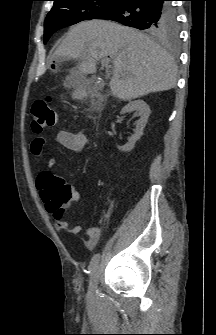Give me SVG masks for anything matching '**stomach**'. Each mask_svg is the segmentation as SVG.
Masks as SVG:
<instances>
[{"mask_svg":"<svg viewBox=\"0 0 216 335\" xmlns=\"http://www.w3.org/2000/svg\"><path fill=\"white\" fill-rule=\"evenodd\" d=\"M80 96V93L79 92H76L75 94H74V97L75 98H77V97H79Z\"/></svg>","mask_w":216,"mask_h":335,"instance_id":"obj_1","label":"stomach"}]
</instances>
